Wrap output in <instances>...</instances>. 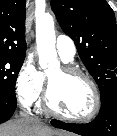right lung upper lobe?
<instances>
[{"label": "right lung upper lobe", "mask_w": 117, "mask_h": 136, "mask_svg": "<svg viewBox=\"0 0 117 136\" xmlns=\"http://www.w3.org/2000/svg\"><path fill=\"white\" fill-rule=\"evenodd\" d=\"M26 0H0V55L25 57Z\"/></svg>", "instance_id": "obj_1"}]
</instances>
